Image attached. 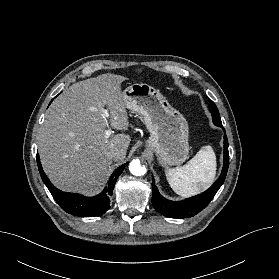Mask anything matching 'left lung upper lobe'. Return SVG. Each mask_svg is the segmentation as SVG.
Segmentation results:
<instances>
[{
  "label": "left lung upper lobe",
  "instance_id": "obj_1",
  "mask_svg": "<svg viewBox=\"0 0 279 279\" xmlns=\"http://www.w3.org/2000/svg\"><path fill=\"white\" fill-rule=\"evenodd\" d=\"M209 107H210V112L212 114L213 123L217 126H221L222 122L219 115V111L212 100L209 103Z\"/></svg>",
  "mask_w": 279,
  "mask_h": 279
}]
</instances>
